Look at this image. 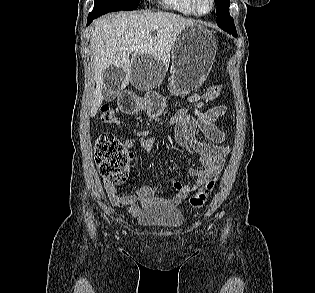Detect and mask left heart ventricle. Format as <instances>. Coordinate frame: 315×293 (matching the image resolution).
<instances>
[{
    "label": "left heart ventricle",
    "instance_id": "obj_1",
    "mask_svg": "<svg viewBox=\"0 0 315 293\" xmlns=\"http://www.w3.org/2000/svg\"><path fill=\"white\" fill-rule=\"evenodd\" d=\"M210 0H199V7L203 12H206L210 9Z\"/></svg>",
    "mask_w": 315,
    "mask_h": 293
}]
</instances>
